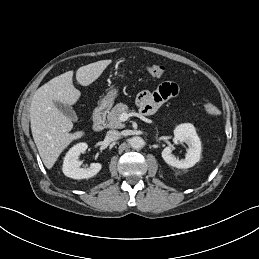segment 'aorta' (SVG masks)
<instances>
[{
    "label": "aorta",
    "mask_w": 259,
    "mask_h": 259,
    "mask_svg": "<svg viewBox=\"0 0 259 259\" xmlns=\"http://www.w3.org/2000/svg\"><path fill=\"white\" fill-rule=\"evenodd\" d=\"M129 144L133 149H141L144 147V140L139 136H134L129 140Z\"/></svg>",
    "instance_id": "1"
}]
</instances>
